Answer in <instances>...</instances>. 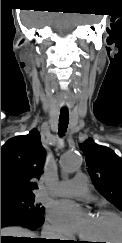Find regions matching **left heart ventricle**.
<instances>
[{
    "mask_svg": "<svg viewBox=\"0 0 122 243\" xmlns=\"http://www.w3.org/2000/svg\"><path fill=\"white\" fill-rule=\"evenodd\" d=\"M82 237L87 240H101L103 243H120L122 226L114 217L94 215L89 218L82 232Z\"/></svg>",
    "mask_w": 122,
    "mask_h": 243,
    "instance_id": "1",
    "label": "left heart ventricle"
}]
</instances>
